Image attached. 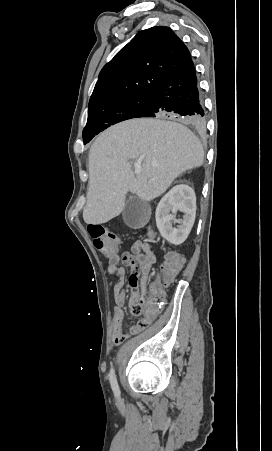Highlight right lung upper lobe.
Returning <instances> with one entry per match:
<instances>
[{"label": "right lung upper lobe", "mask_w": 272, "mask_h": 451, "mask_svg": "<svg viewBox=\"0 0 272 451\" xmlns=\"http://www.w3.org/2000/svg\"><path fill=\"white\" fill-rule=\"evenodd\" d=\"M190 59L170 28L140 31L101 70L89 108L118 97L150 95Z\"/></svg>", "instance_id": "obj_1"}]
</instances>
